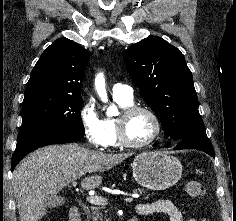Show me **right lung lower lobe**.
Wrapping results in <instances>:
<instances>
[{
	"mask_svg": "<svg viewBox=\"0 0 236 221\" xmlns=\"http://www.w3.org/2000/svg\"><path fill=\"white\" fill-rule=\"evenodd\" d=\"M81 133H75L55 128H35L20 133L17 138V145L11 160L13 171L17 163L29 152L51 144L71 143L80 140Z\"/></svg>",
	"mask_w": 236,
	"mask_h": 221,
	"instance_id": "1",
	"label": "right lung lower lobe"
}]
</instances>
